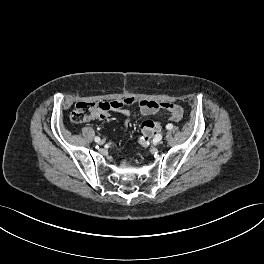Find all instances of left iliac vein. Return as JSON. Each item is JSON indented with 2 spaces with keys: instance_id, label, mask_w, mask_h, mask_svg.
<instances>
[{
  "instance_id": "4c4485c4",
  "label": "left iliac vein",
  "mask_w": 264,
  "mask_h": 264,
  "mask_svg": "<svg viewBox=\"0 0 264 264\" xmlns=\"http://www.w3.org/2000/svg\"><path fill=\"white\" fill-rule=\"evenodd\" d=\"M164 142H165V141L162 139V140L159 141V144H160V145H163Z\"/></svg>"
}]
</instances>
